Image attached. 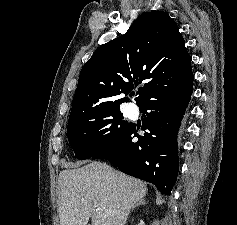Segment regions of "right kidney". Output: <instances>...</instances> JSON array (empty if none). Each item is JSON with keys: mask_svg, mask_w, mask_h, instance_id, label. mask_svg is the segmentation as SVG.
Returning a JSON list of instances; mask_svg holds the SVG:
<instances>
[{"mask_svg": "<svg viewBox=\"0 0 237 225\" xmlns=\"http://www.w3.org/2000/svg\"><path fill=\"white\" fill-rule=\"evenodd\" d=\"M138 225H145L144 222L141 220Z\"/></svg>", "mask_w": 237, "mask_h": 225, "instance_id": "ca27d5eb", "label": "right kidney"}]
</instances>
